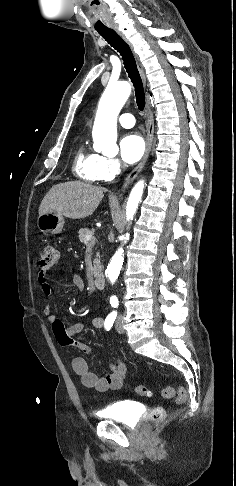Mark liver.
Returning a JSON list of instances; mask_svg holds the SVG:
<instances>
[{
    "instance_id": "6515ba94",
    "label": "liver",
    "mask_w": 236,
    "mask_h": 486,
    "mask_svg": "<svg viewBox=\"0 0 236 486\" xmlns=\"http://www.w3.org/2000/svg\"><path fill=\"white\" fill-rule=\"evenodd\" d=\"M105 191V188L77 181L54 185L43 198L39 215L56 213L71 219L88 217L98 207Z\"/></svg>"
}]
</instances>
